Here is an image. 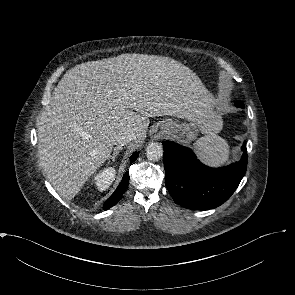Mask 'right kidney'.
<instances>
[{
    "label": "right kidney",
    "mask_w": 295,
    "mask_h": 295,
    "mask_svg": "<svg viewBox=\"0 0 295 295\" xmlns=\"http://www.w3.org/2000/svg\"><path fill=\"white\" fill-rule=\"evenodd\" d=\"M116 170L114 167H108L100 171L93 179V183L99 191H105L109 188L115 179Z\"/></svg>",
    "instance_id": "1"
}]
</instances>
